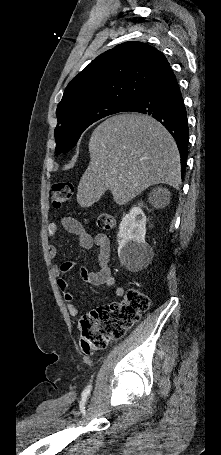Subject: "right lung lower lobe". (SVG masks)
<instances>
[{
  "label": "right lung lower lobe",
  "instance_id": "98d812e1",
  "mask_svg": "<svg viewBox=\"0 0 221 455\" xmlns=\"http://www.w3.org/2000/svg\"><path fill=\"white\" fill-rule=\"evenodd\" d=\"M126 111L149 114L170 132L180 152L183 179L189 144L187 112L179 85L168 62L141 96L125 108L124 112Z\"/></svg>",
  "mask_w": 221,
  "mask_h": 455
}]
</instances>
